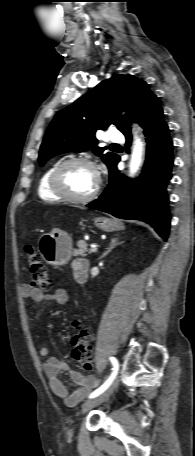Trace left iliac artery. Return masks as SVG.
Wrapping results in <instances>:
<instances>
[{
	"instance_id": "obj_1",
	"label": "left iliac artery",
	"mask_w": 195,
	"mask_h": 456,
	"mask_svg": "<svg viewBox=\"0 0 195 456\" xmlns=\"http://www.w3.org/2000/svg\"><path fill=\"white\" fill-rule=\"evenodd\" d=\"M109 359L113 366V368H112L113 371H112L111 375L98 389H96L95 391H93L90 394L89 398H94V397L100 395L102 392H104L110 386V384L113 382L114 378L116 377L118 368H119L118 361L115 357H110Z\"/></svg>"
}]
</instances>
